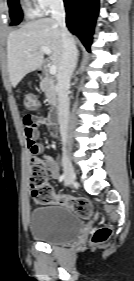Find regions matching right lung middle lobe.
I'll return each mask as SVG.
<instances>
[{
    "label": "right lung middle lobe",
    "mask_w": 134,
    "mask_h": 281,
    "mask_svg": "<svg viewBox=\"0 0 134 281\" xmlns=\"http://www.w3.org/2000/svg\"><path fill=\"white\" fill-rule=\"evenodd\" d=\"M9 13L11 17V25H18L22 20V11L19 0H8Z\"/></svg>",
    "instance_id": "right-lung-middle-lobe-1"
}]
</instances>
